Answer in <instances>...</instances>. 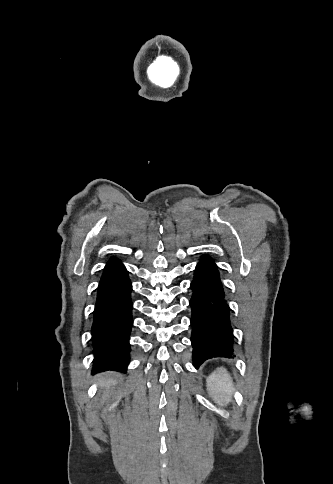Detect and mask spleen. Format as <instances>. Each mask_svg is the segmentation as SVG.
<instances>
[{"label":"spleen","mask_w":333,"mask_h":484,"mask_svg":"<svg viewBox=\"0 0 333 484\" xmlns=\"http://www.w3.org/2000/svg\"><path fill=\"white\" fill-rule=\"evenodd\" d=\"M233 390V380L225 368L217 369L207 379L208 394L221 407L231 401Z\"/></svg>","instance_id":"spleen-1"}]
</instances>
